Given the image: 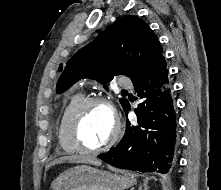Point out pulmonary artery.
I'll list each match as a JSON object with an SVG mask.
<instances>
[{
    "instance_id": "pulmonary-artery-1",
    "label": "pulmonary artery",
    "mask_w": 221,
    "mask_h": 190,
    "mask_svg": "<svg viewBox=\"0 0 221 190\" xmlns=\"http://www.w3.org/2000/svg\"><path fill=\"white\" fill-rule=\"evenodd\" d=\"M117 85L122 88H130L132 87V82L128 77L121 76L117 81Z\"/></svg>"
}]
</instances>
